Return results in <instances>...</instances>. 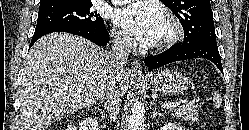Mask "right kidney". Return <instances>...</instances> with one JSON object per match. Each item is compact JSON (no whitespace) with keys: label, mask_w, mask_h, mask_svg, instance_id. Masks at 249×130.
I'll return each mask as SVG.
<instances>
[{"label":"right kidney","mask_w":249,"mask_h":130,"mask_svg":"<svg viewBox=\"0 0 249 130\" xmlns=\"http://www.w3.org/2000/svg\"><path fill=\"white\" fill-rule=\"evenodd\" d=\"M80 130H98V121L95 118H86L79 122ZM67 130H77L75 126H68Z\"/></svg>","instance_id":"obj_1"}]
</instances>
